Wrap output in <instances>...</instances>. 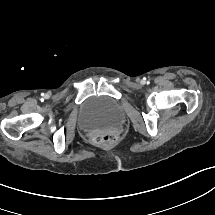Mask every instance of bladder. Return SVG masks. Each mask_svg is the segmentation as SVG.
<instances>
[{"mask_svg":"<svg viewBox=\"0 0 215 215\" xmlns=\"http://www.w3.org/2000/svg\"><path fill=\"white\" fill-rule=\"evenodd\" d=\"M124 117V110L118 100L92 97L81 105L77 125L84 132H111L122 125Z\"/></svg>","mask_w":215,"mask_h":215,"instance_id":"31cf9c89","label":"bladder"}]
</instances>
